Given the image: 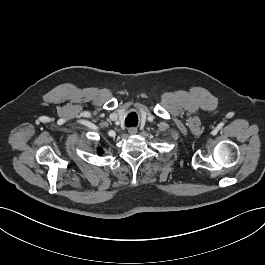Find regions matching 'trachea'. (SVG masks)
Here are the masks:
<instances>
[{
    "label": "trachea",
    "mask_w": 265,
    "mask_h": 265,
    "mask_svg": "<svg viewBox=\"0 0 265 265\" xmlns=\"http://www.w3.org/2000/svg\"><path fill=\"white\" fill-rule=\"evenodd\" d=\"M138 116L135 112L130 113L125 119V125L127 127L137 126Z\"/></svg>",
    "instance_id": "1"
}]
</instances>
